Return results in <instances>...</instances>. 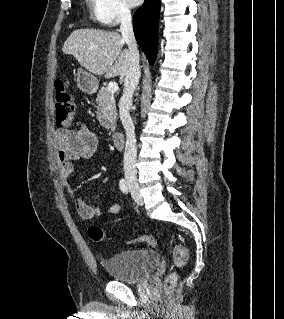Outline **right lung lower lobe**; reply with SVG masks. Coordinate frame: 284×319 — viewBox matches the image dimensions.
Listing matches in <instances>:
<instances>
[{"instance_id":"98d812e1","label":"right lung lower lobe","mask_w":284,"mask_h":319,"mask_svg":"<svg viewBox=\"0 0 284 319\" xmlns=\"http://www.w3.org/2000/svg\"><path fill=\"white\" fill-rule=\"evenodd\" d=\"M160 0H146L134 14V33L149 63L155 61Z\"/></svg>"}]
</instances>
